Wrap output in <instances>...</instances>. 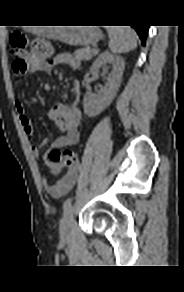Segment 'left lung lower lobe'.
Masks as SVG:
<instances>
[{
    "label": "left lung lower lobe",
    "instance_id": "obj_1",
    "mask_svg": "<svg viewBox=\"0 0 184 292\" xmlns=\"http://www.w3.org/2000/svg\"><path fill=\"white\" fill-rule=\"evenodd\" d=\"M138 33L141 41H142V44H145V40H146V35H147V32H148V27L149 26H146V25H133L132 26Z\"/></svg>",
    "mask_w": 184,
    "mask_h": 292
}]
</instances>
